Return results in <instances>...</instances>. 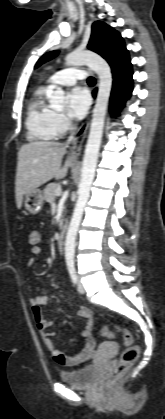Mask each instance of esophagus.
I'll list each match as a JSON object with an SVG mask.
<instances>
[{
    "instance_id": "34e87169",
    "label": "esophagus",
    "mask_w": 165,
    "mask_h": 419,
    "mask_svg": "<svg viewBox=\"0 0 165 419\" xmlns=\"http://www.w3.org/2000/svg\"><path fill=\"white\" fill-rule=\"evenodd\" d=\"M89 125V118H87L82 125L77 130L73 141H72V147H71V153L73 156H77L80 154L82 143L85 139V136L87 134V129Z\"/></svg>"
}]
</instances>
